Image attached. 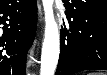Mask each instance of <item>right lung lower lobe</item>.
Segmentation results:
<instances>
[{
  "instance_id": "1",
  "label": "right lung lower lobe",
  "mask_w": 107,
  "mask_h": 75,
  "mask_svg": "<svg viewBox=\"0 0 107 75\" xmlns=\"http://www.w3.org/2000/svg\"><path fill=\"white\" fill-rule=\"evenodd\" d=\"M36 23V0H0V75H25Z\"/></svg>"
}]
</instances>
